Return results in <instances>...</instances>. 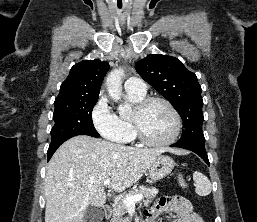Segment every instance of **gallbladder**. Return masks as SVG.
Returning <instances> with one entry per match:
<instances>
[{
	"label": "gallbladder",
	"instance_id": "1",
	"mask_svg": "<svg viewBox=\"0 0 257 222\" xmlns=\"http://www.w3.org/2000/svg\"><path fill=\"white\" fill-rule=\"evenodd\" d=\"M103 218L104 212L101 208L89 206L84 214L83 222H102Z\"/></svg>",
	"mask_w": 257,
	"mask_h": 222
}]
</instances>
